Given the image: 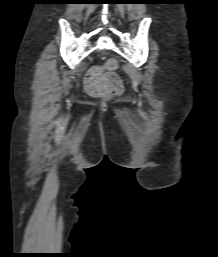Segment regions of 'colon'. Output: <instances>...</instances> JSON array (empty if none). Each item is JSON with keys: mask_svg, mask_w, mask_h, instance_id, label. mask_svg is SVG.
<instances>
[{"mask_svg": "<svg viewBox=\"0 0 218 257\" xmlns=\"http://www.w3.org/2000/svg\"><path fill=\"white\" fill-rule=\"evenodd\" d=\"M117 62L110 59L106 62V72L95 67L89 70L85 78V86L89 93L94 95L120 94L123 91V83L120 77L113 71Z\"/></svg>", "mask_w": 218, "mask_h": 257, "instance_id": "obj_1", "label": "colon"}]
</instances>
